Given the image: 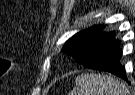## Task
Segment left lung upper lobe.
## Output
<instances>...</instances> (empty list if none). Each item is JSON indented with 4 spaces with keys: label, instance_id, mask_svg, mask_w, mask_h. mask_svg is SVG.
Returning <instances> with one entry per match:
<instances>
[{
    "label": "left lung upper lobe",
    "instance_id": "1",
    "mask_svg": "<svg viewBox=\"0 0 135 95\" xmlns=\"http://www.w3.org/2000/svg\"><path fill=\"white\" fill-rule=\"evenodd\" d=\"M103 25L93 26L82 30L71 37L62 51L70 54L79 64H84L90 53L114 32H102Z\"/></svg>",
    "mask_w": 135,
    "mask_h": 95
}]
</instances>
